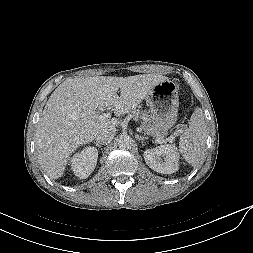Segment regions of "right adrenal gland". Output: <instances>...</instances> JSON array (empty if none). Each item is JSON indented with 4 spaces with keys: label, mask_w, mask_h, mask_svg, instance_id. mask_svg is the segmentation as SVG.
Instances as JSON below:
<instances>
[{
    "label": "right adrenal gland",
    "mask_w": 253,
    "mask_h": 253,
    "mask_svg": "<svg viewBox=\"0 0 253 253\" xmlns=\"http://www.w3.org/2000/svg\"><path fill=\"white\" fill-rule=\"evenodd\" d=\"M94 144H95L97 147H99V148L102 147V145H101V144H98L97 142H94Z\"/></svg>",
    "instance_id": "2a0ac1e0"
}]
</instances>
